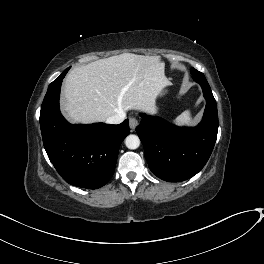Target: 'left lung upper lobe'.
Here are the masks:
<instances>
[{
    "label": "left lung upper lobe",
    "instance_id": "1",
    "mask_svg": "<svg viewBox=\"0 0 264 264\" xmlns=\"http://www.w3.org/2000/svg\"><path fill=\"white\" fill-rule=\"evenodd\" d=\"M191 74H192V77H202V76H204L203 73L197 71L194 68H191Z\"/></svg>",
    "mask_w": 264,
    "mask_h": 264
}]
</instances>
